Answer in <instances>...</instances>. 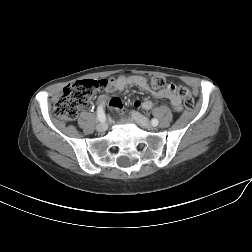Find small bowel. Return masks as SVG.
<instances>
[{"label":"small bowel","mask_w":252,"mask_h":252,"mask_svg":"<svg viewBox=\"0 0 252 252\" xmlns=\"http://www.w3.org/2000/svg\"><path fill=\"white\" fill-rule=\"evenodd\" d=\"M129 86H136L143 90H148V84L146 79L140 75H121L117 78H111L108 80L106 91L109 93L113 92H122ZM154 96L158 99L167 98L170 100L172 107L176 111L182 110V100L176 94L175 90L172 89H163L154 92ZM108 100L107 96L102 95L99 97V102L104 104ZM112 107L122 110V103L118 98H112L110 100ZM154 106V103L150 100L144 101L141 103V107L145 110H149Z\"/></svg>","instance_id":"small-bowel-1"}]
</instances>
